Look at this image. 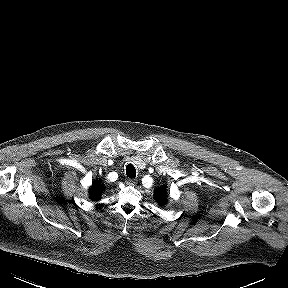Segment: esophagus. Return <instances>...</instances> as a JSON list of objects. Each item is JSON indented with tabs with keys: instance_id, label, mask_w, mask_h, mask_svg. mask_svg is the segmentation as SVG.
<instances>
[{
	"instance_id": "esophagus-1",
	"label": "esophagus",
	"mask_w": 288,
	"mask_h": 288,
	"mask_svg": "<svg viewBox=\"0 0 288 288\" xmlns=\"http://www.w3.org/2000/svg\"><path fill=\"white\" fill-rule=\"evenodd\" d=\"M125 182L127 185H135L137 183V180L132 179V178H127Z\"/></svg>"
}]
</instances>
